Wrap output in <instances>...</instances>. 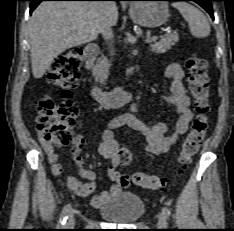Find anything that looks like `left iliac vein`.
Here are the masks:
<instances>
[{"instance_id": "1", "label": "left iliac vein", "mask_w": 234, "mask_h": 231, "mask_svg": "<svg viewBox=\"0 0 234 231\" xmlns=\"http://www.w3.org/2000/svg\"><path fill=\"white\" fill-rule=\"evenodd\" d=\"M158 226L160 228H167V219L163 212L158 215Z\"/></svg>"}]
</instances>
